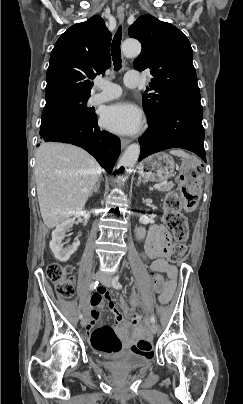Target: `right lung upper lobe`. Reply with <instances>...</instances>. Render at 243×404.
<instances>
[{"mask_svg":"<svg viewBox=\"0 0 243 404\" xmlns=\"http://www.w3.org/2000/svg\"><path fill=\"white\" fill-rule=\"evenodd\" d=\"M111 33L96 15L71 26L57 40L47 70L46 103L90 97L94 79L111 65Z\"/></svg>","mask_w":243,"mask_h":404,"instance_id":"right-lung-upper-lobe-1","label":"right lung upper lobe"}]
</instances>
